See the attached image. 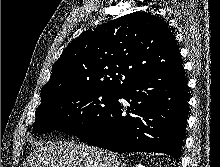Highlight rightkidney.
Masks as SVG:
<instances>
[{
    "instance_id": "obj_1",
    "label": "right kidney",
    "mask_w": 220,
    "mask_h": 167,
    "mask_svg": "<svg viewBox=\"0 0 220 167\" xmlns=\"http://www.w3.org/2000/svg\"><path fill=\"white\" fill-rule=\"evenodd\" d=\"M134 167H145V166L142 165V164H138V165H136V166H134Z\"/></svg>"
}]
</instances>
